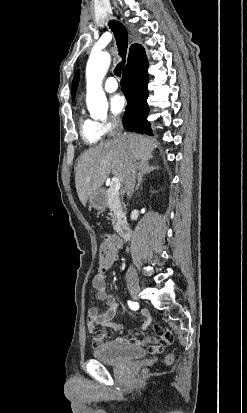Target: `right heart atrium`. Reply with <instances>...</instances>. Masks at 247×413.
Here are the masks:
<instances>
[{
  "mask_svg": "<svg viewBox=\"0 0 247 413\" xmlns=\"http://www.w3.org/2000/svg\"><path fill=\"white\" fill-rule=\"evenodd\" d=\"M96 126V130L101 132L102 134H112L114 130V126L111 123H101L99 120L94 122Z\"/></svg>",
  "mask_w": 247,
  "mask_h": 413,
  "instance_id": "d8ad5b80",
  "label": "right heart atrium"
}]
</instances>
